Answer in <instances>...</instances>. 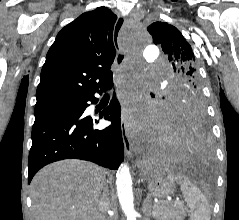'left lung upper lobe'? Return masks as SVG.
Returning <instances> with one entry per match:
<instances>
[{
  "label": "left lung upper lobe",
  "instance_id": "5c2ea615",
  "mask_svg": "<svg viewBox=\"0 0 239 220\" xmlns=\"http://www.w3.org/2000/svg\"><path fill=\"white\" fill-rule=\"evenodd\" d=\"M147 30L153 42L162 47L178 75L169 87V105L172 112H187L195 108L204 110L201 81L190 44L180 31L166 22H155Z\"/></svg>",
  "mask_w": 239,
  "mask_h": 220
}]
</instances>
